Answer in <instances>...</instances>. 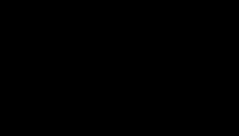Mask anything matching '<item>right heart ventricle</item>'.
<instances>
[{
  "mask_svg": "<svg viewBox=\"0 0 239 136\" xmlns=\"http://www.w3.org/2000/svg\"><path fill=\"white\" fill-rule=\"evenodd\" d=\"M157 26V22H149L138 28H135L130 33H124L119 38V43L122 47H127L132 43H135L137 40H143L155 27Z\"/></svg>",
  "mask_w": 239,
  "mask_h": 136,
  "instance_id": "obj_1",
  "label": "right heart ventricle"
}]
</instances>
